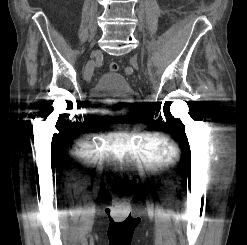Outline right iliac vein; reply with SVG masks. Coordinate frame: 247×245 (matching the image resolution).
I'll use <instances>...</instances> for the list:
<instances>
[{
  "instance_id": "obj_1",
  "label": "right iliac vein",
  "mask_w": 247,
  "mask_h": 245,
  "mask_svg": "<svg viewBox=\"0 0 247 245\" xmlns=\"http://www.w3.org/2000/svg\"><path fill=\"white\" fill-rule=\"evenodd\" d=\"M94 55H98L99 54V51L96 50L94 51L93 53ZM93 70H94V61L93 60H90L86 67H85V71H84V78L89 81L92 77V74H93Z\"/></svg>"
}]
</instances>
